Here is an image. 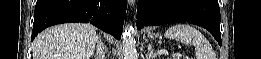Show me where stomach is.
Instances as JSON below:
<instances>
[{"label":"stomach","instance_id":"0dacf381","mask_svg":"<svg viewBox=\"0 0 261 59\" xmlns=\"http://www.w3.org/2000/svg\"><path fill=\"white\" fill-rule=\"evenodd\" d=\"M147 35H148V37H151V38H154V37L158 36V34H154L150 30L147 31Z\"/></svg>","mask_w":261,"mask_h":59}]
</instances>
